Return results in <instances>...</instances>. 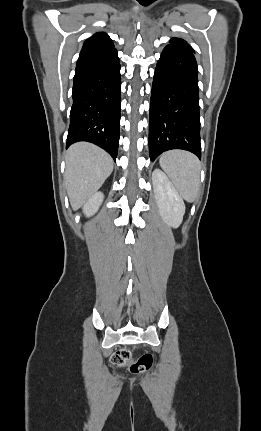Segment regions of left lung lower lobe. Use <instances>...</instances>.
I'll return each instance as SVG.
<instances>
[{
	"mask_svg": "<svg viewBox=\"0 0 261 431\" xmlns=\"http://www.w3.org/2000/svg\"><path fill=\"white\" fill-rule=\"evenodd\" d=\"M198 68L192 51L167 45L158 60L150 101L149 154L183 149L201 158Z\"/></svg>",
	"mask_w": 261,
	"mask_h": 431,
	"instance_id": "0a47b994",
	"label": "left lung lower lobe"
}]
</instances>
